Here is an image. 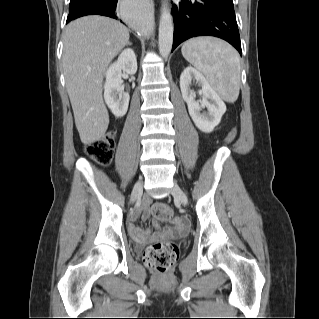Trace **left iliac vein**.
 Returning a JSON list of instances; mask_svg holds the SVG:
<instances>
[{"label": "left iliac vein", "instance_id": "left-iliac-vein-1", "mask_svg": "<svg viewBox=\"0 0 319 319\" xmlns=\"http://www.w3.org/2000/svg\"><path fill=\"white\" fill-rule=\"evenodd\" d=\"M172 195L175 199L179 200L183 205L188 204V198L183 190L175 183L172 188Z\"/></svg>", "mask_w": 319, "mask_h": 319}]
</instances>
